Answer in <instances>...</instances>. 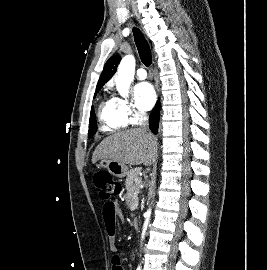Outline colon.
<instances>
[{"instance_id": "obj_1", "label": "colon", "mask_w": 267, "mask_h": 270, "mask_svg": "<svg viewBox=\"0 0 267 270\" xmlns=\"http://www.w3.org/2000/svg\"><path fill=\"white\" fill-rule=\"evenodd\" d=\"M94 185L98 189L101 199L104 201L118 196L122 190L121 184L107 172L96 173L94 176ZM118 268V264H115L114 269Z\"/></svg>"}]
</instances>
